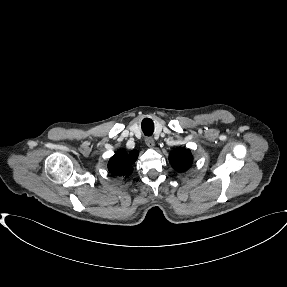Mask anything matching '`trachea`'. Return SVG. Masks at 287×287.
I'll use <instances>...</instances> for the list:
<instances>
[{
	"label": "trachea",
	"mask_w": 287,
	"mask_h": 287,
	"mask_svg": "<svg viewBox=\"0 0 287 287\" xmlns=\"http://www.w3.org/2000/svg\"><path fill=\"white\" fill-rule=\"evenodd\" d=\"M142 131L146 136H151L154 131L153 121L149 118H145L141 124Z\"/></svg>",
	"instance_id": "3493384b"
}]
</instances>
